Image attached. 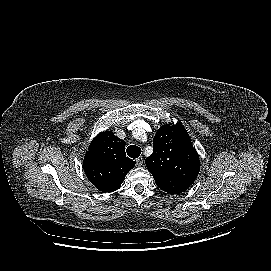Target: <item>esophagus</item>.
I'll return each instance as SVG.
<instances>
[{"label": "esophagus", "mask_w": 271, "mask_h": 271, "mask_svg": "<svg viewBox=\"0 0 271 271\" xmlns=\"http://www.w3.org/2000/svg\"><path fill=\"white\" fill-rule=\"evenodd\" d=\"M143 164V158L142 157H139L136 159V165L139 167Z\"/></svg>", "instance_id": "esophagus-1"}]
</instances>
